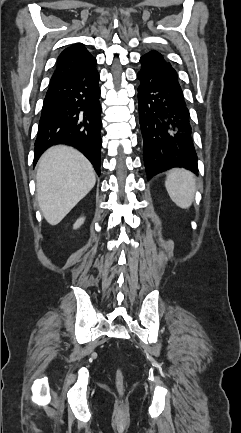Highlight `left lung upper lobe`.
I'll return each mask as SVG.
<instances>
[{"mask_svg": "<svg viewBox=\"0 0 241 433\" xmlns=\"http://www.w3.org/2000/svg\"><path fill=\"white\" fill-rule=\"evenodd\" d=\"M140 62L142 64L141 69H164L167 72L171 73L177 79L176 70L171 66L170 63L165 61L162 54L155 50H152L149 53L143 55L140 58Z\"/></svg>", "mask_w": 241, "mask_h": 433, "instance_id": "obj_1", "label": "left lung upper lobe"}]
</instances>
